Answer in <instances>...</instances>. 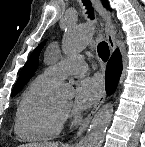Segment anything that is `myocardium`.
<instances>
[{
	"label": "myocardium",
	"mask_w": 145,
	"mask_h": 147,
	"mask_svg": "<svg viewBox=\"0 0 145 147\" xmlns=\"http://www.w3.org/2000/svg\"><path fill=\"white\" fill-rule=\"evenodd\" d=\"M56 107H57V110H58L62 115L67 113V109H62V108H60L59 106H56Z\"/></svg>",
	"instance_id": "f54148a6"
}]
</instances>
